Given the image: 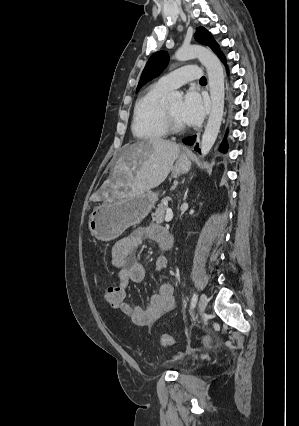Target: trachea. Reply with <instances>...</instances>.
<instances>
[{
  "instance_id": "obj_1",
  "label": "trachea",
  "mask_w": 299,
  "mask_h": 426,
  "mask_svg": "<svg viewBox=\"0 0 299 426\" xmlns=\"http://www.w3.org/2000/svg\"><path fill=\"white\" fill-rule=\"evenodd\" d=\"M200 82L201 83H206L207 81H206V78L205 77H202L201 79H200Z\"/></svg>"
}]
</instances>
